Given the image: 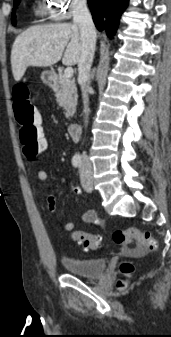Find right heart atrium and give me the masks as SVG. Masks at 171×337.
Segmentation results:
<instances>
[{"label":"right heart atrium","mask_w":171,"mask_h":337,"mask_svg":"<svg viewBox=\"0 0 171 337\" xmlns=\"http://www.w3.org/2000/svg\"><path fill=\"white\" fill-rule=\"evenodd\" d=\"M84 4L85 0H44L43 10L53 20H65Z\"/></svg>","instance_id":"1"}]
</instances>
